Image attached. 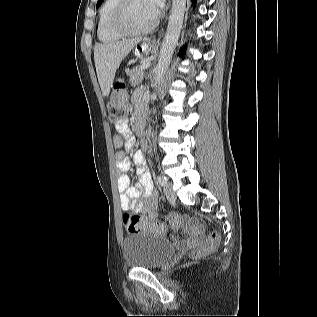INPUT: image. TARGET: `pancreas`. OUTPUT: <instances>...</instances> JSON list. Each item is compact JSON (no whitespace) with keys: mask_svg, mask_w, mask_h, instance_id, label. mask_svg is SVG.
Listing matches in <instances>:
<instances>
[{"mask_svg":"<svg viewBox=\"0 0 317 317\" xmlns=\"http://www.w3.org/2000/svg\"><path fill=\"white\" fill-rule=\"evenodd\" d=\"M126 74L129 76V82L131 86H136L143 80L144 71L140 67L126 70Z\"/></svg>","mask_w":317,"mask_h":317,"instance_id":"1","label":"pancreas"}]
</instances>
